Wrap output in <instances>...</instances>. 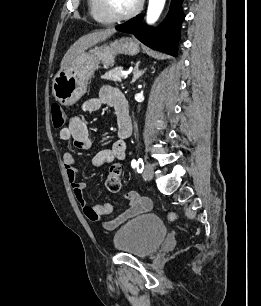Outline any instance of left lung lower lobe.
Masks as SVG:
<instances>
[{
    "instance_id": "0a47b994",
    "label": "left lung lower lobe",
    "mask_w": 261,
    "mask_h": 306,
    "mask_svg": "<svg viewBox=\"0 0 261 306\" xmlns=\"http://www.w3.org/2000/svg\"><path fill=\"white\" fill-rule=\"evenodd\" d=\"M182 1L171 0L170 10L163 23L157 29H150L143 25L142 15H138L116 26V29L135 35L141 42L155 50L177 56L180 26L185 17L181 6Z\"/></svg>"
}]
</instances>
